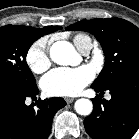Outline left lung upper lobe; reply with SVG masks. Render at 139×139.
<instances>
[{
  "label": "left lung upper lobe",
  "instance_id": "5c2ea615",
  "mask_svg": "<svg viewBox=\"0 0 139 139\" xmlns=\"http://www.w3.org/2000/svg\"><path fill=\"white\" fill-rule=\"evenodd\" d=\"M66 30L88 31L100 42L106 62L92 86L106 90L125 74L139 69V28L121 18L84 20Z\"/></svg>",
  "mask_w": 139,
  "mask_h": 139
}]
</instances>
